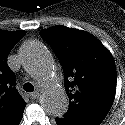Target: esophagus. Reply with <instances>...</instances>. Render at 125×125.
<instances>
[{
	"label": "esophagus",
	"instance_id": "34e87169",
	"mask_svg": "<svg viewBox=\"0 0 125 125\" xmlns=\"http://www.w3.org/2000/svg\"><path fill=\"white\" fill-rule=\"evenodd\" d=\"M39 94L40 93L38 91H35V92L31 93L29 96L31 99H36L39 97Z\"/></svg>",
	"mask_w": 125,
	"mask_h": 125
}]
</instances>
